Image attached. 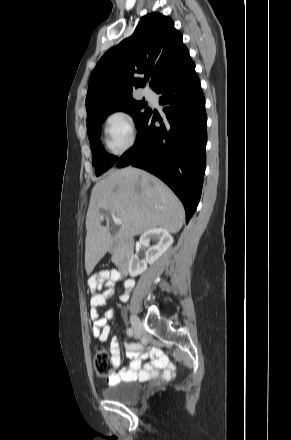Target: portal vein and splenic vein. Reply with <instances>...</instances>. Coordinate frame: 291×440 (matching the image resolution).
I'll list each match as a JSON object with an SVG mask.
<instances>
[{"mask_svg": "<svg viewBox=\"0 0 291 440\" xmlns=\"http://www.w3.org/2000/svg\"><path fill=\"white\" fill-rule=\"evenodd\" d=\"M111 216H112V219H113V221H114V223L116 225H121L122 224V220L117 218L116 215L113 212H111Z\"/></svg>", "mask_w": 291, "mask_h": 440, "instance_id": "1", "label": "portal vein and splenic vein"}]
</instances>
